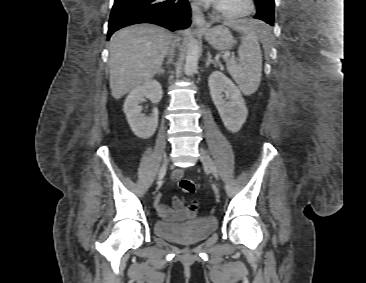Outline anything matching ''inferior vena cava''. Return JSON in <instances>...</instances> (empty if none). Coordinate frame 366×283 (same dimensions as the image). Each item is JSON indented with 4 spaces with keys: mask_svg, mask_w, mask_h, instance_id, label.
Here are the masks:
<instances>
[{
    "mask_svg": "<svg viewBox=\"0 0 366 283\" xmlns=\"http://www.w3.org/2000/svg\"><path fill=\"white\" fill-rule=\"evenodd\" d=\"M173 46H174V44H172V49H171L172 52H173Z\"/></svg>",
    "mask_w": 366,
    "mask_h": 283,
    "instance_id": "inferior-vena-cava-1",
    "label": "inferior vena cava"
}]
</instances>
